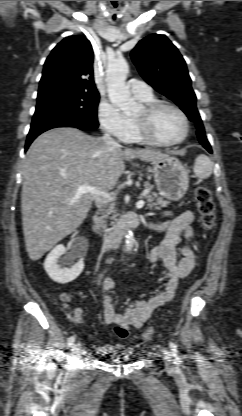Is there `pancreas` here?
Segmentation results:
<instances>
[{"instance_id": "cf45deb5", "label": "pancreas", "mask_w": 242, "mask_h": 416, "mask_svg": "<svg viewBox=\"0 0 242 416\" xmlns=\"http://www.w3.org/2000/svg\"><path fill=\"white\" fill-rule=\"evenodd\" d=\"M144 192L145 193L142 194L140 198H144L147 200L148 208H155L157 210H160L162 207H167V205H169L168 201L164 200L162 197H158L156 193L152 192V187L149 184H145ZM102 214V217L96 216L93 218L96 229H99L100 227L106 228V220L104 219L109 218V215H112L110 219L114 220V222H112L113 224L119 222L117 219V209L115 208L114 204L107 206V209L104 210Z\"/></svg>"}]
</instances>
